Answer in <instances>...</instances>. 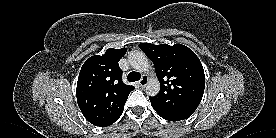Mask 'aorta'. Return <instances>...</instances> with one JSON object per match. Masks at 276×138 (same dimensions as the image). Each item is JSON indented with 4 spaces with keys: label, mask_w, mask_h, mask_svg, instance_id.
<instances>
[{
    "label": "aorta",
    "mask_w": 276,
    "mask_h": 138,
    "mask_svg": "<svg viewBox=\"0 0 276 138\" xmlns=\"http://www.w3.org/2000/svg\"><path fill=\"white\" fill-rule=\"evenodd\" d=\"M129 64L140 72L150 73L151 66L146 55L141 51H133L128 55ZM160 91V83L155 75L152 73V77L146 84V93L149 96H156Z\"/></svg>",
    "instance_id": "762f6f07"
}]
</instances>
